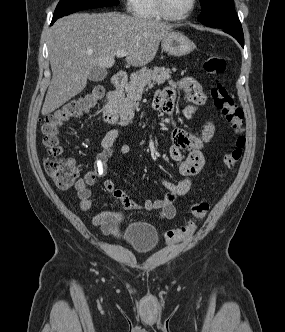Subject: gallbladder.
<instances>
[{"instance_id": "bac80fb5", "label": "gallbladder", "mask_w": 285, "mask_h": 332, "mask_svg": "<svg viewBox=\"0 0 285 332\" xmlns=\"http://www.w3.org/2000/svg\"><path fill=\"white\" fill-rule=\"evenodd\" d=\"M107 76V70L105 68L94 67L88 76V79L92 82L103 81Z\"/></svg>"}]
</instances>
